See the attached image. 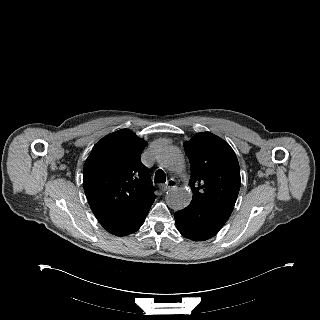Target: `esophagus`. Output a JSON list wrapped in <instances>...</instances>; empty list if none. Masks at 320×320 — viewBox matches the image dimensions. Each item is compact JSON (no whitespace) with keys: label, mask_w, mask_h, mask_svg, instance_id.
<instances>
[{"label":"esophagus","mask_w":320,"mask_h":320,"mask_svg":"<svg viewBox=\"0 0 320 320\" xmlns=\"http://www.w3.org/2000/svg\"><path fill=\"white\" fill-rule=\"evenodd\" d=\"M177 187V183L174 179H170L166 182V184L162 187L163 191L173 190Z\"/></svg>","instance_id":"34e87169"}]
</instances>
